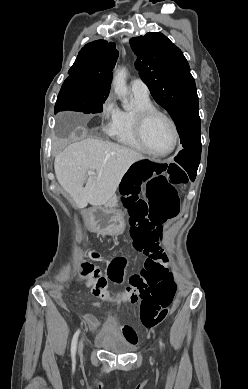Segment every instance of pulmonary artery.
Returning a JSON list of instances; mask_svg holds the SVG:
<instances>
[{
  "label": "pulmonary artery",
  "mask_w": 248,
  "mask_h": 389,
  "mask_svg": "<svg viewBox=\"0 0 248 389\" xmlns=\"http://www.w3.org/2000/svg\"><path fill=\"white\" fill-rule=\"evenodd\" d=\"M130 88L134 95L142 98H149V89L141 79H133L130 83Z\"/></svg>",
  "instance_id": "pulmonary-artery-1"
}]
</instances>
